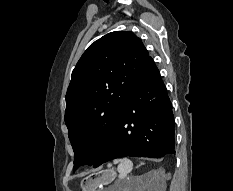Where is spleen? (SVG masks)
Instances as JSON below:
<instances>
[{
	"label": "spleen",
	"instance_id": "spleen-1",
	"mask_svg": "<svg viewBox=\"0 0 233 191\" xmlns=\"http://www.w3.org/2000/svg\"><path fill=\"white\" fill-rule=\"evenodd\" d=\"M116 163H119L117 170L119 172V179L122 180L126 178L129 172H131L133 168V163L131 162V160L127 158L115 160L114 164ZM111 166H112L111 164H108V167H111Z\"/></svg>",
	"mask_w": 233,
	"mask_h": 191
}]
</instances>
